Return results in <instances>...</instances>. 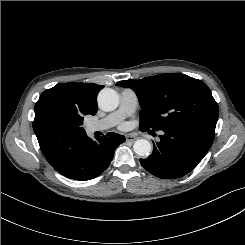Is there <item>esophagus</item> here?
Here are the masks:
<instances>
[{
    "mask_svg": "<svg viewBox=\"0 0 245 245\" xmlns=\"http://www.w3.org/2000/svg\"><path fill=\"white\" fill-rule=\"evenodd\" d=\"M137 139V137L133 134H127L126 135V140L130 142H134Z\"/></svg>",
    "mask_w": 245,
    "mask_h": 245,
    "instance_id": "1",
    "label": "esophagus"
}]
</instances>
